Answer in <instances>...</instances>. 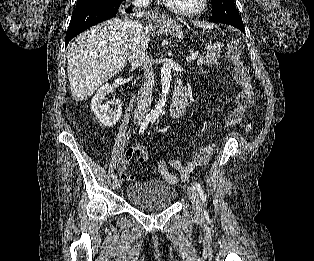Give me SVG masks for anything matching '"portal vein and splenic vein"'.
Wrapping results in <instances>:
<instances>
[{"mask_svg": "<svg viewBox=\"0 0 314 261\" xmlns=\"http://www.w3.org/2000/svg\"><path fill=\"white\" fill-rule=\"evenodd\" d=\"M207 49H208V50H209V49H212V46H208ZM198 54H199L198 52L193 53V54L190 56L189 59H190V60H193V61L196 60L197 57H198ZM187 60H188V59H187Z\"/></svg>", "mask_w": 314, "mask_h": 261, "instance_id": "obj_1", "label": "portal vein and splenic vein"}]
</instances>
